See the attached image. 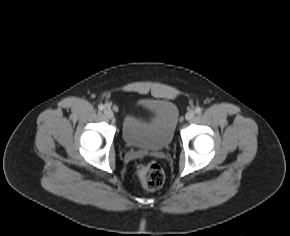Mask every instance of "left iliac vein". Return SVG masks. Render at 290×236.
Wrapping results in <instances>:
<instances>
[{
  "label": "left iliac vein",
  "mask_w": 290,
  "mask_h": 236,
  "mask_svg": "<svg viewBox=\"0 0 290 236\" xmlns=\"http://www.w3.org/2000/svg\"><path fill=\"white\" fill-rule=\"evenodd\" d=\"M194 116H195V111L189 110L186 113L185 118H186V120L190 121V120H192L194 118Z\"/></svg>",
  "instance_id": "obj_1"
}]
</instances>
